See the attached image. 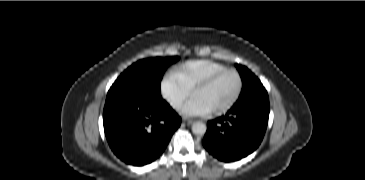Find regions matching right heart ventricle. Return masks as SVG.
Returning a JSON list of instances; mask_svg holds the SVG:
<instances>
[{"label": "right heart ventricle", "mask_w": 365, "mask_h": 180, "mask_svg": "<svg viewBox=\"0 0 365 180\" xmlns=\"http://www.w3.org/2000/svg\"><path fill=\"white\" fill-rule=\"evenodd\" d=\"M225 69L227 66L222 63L202 60L191 62L182 67L178 75L180 83L189 92H192L199 84Z\"/></svg>", "instance_id": "e07e8e85"}]
</instances>
